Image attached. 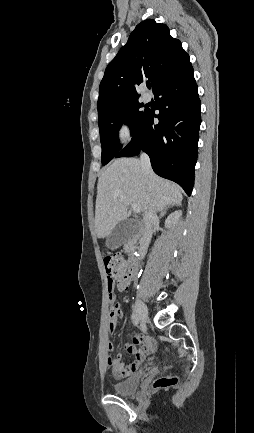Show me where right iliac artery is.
<instances>
[{"label":"right iliac artery","mask_w":254,"mask_h":433,"mask_svg":"<svg viewBox=\"0 0 254 433\" xmlns=\"http://www.w3.org/2000/svg\"><path fill=\"white\" fill-rule=\"evenodd\" d=\"M132 321H133L134 325H138L139 324V318L137 317V315H135V314L133 315Z\"/></svg>","instance_id":"1"}]
</instances>
